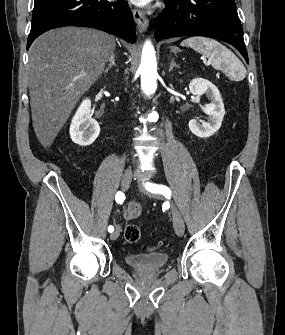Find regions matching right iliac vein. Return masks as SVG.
<instances>
[{
  "mask_svg": "<svg viewBox=\"0 0 285 335\" xmlns=\"http://www.w3.org/2000/svg\"><path fill=\"white\" fill-rule=\"evenodd\" d=\"M132 172L127 171L123 174L121 179V188L123 191H127L131 185ZM120 228L116 227L115 231L110 235L111 240H116L119 237Z\"/></svg>",
  "mask_w": 285,
  "mask_h": 335,
  "instance_id": "right-iliac-vein-1",
  "label": "right iliac vein"
}]
</instances>
